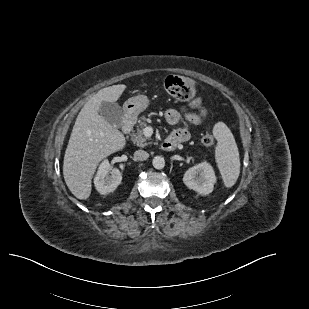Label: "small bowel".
I'll use <instances>...</instances> for the list:
<instances>
[{
    "instance_id": "1",
    "label": "small bowel",
    "mask_w": 309,
    "mask_h": 309,
    "mask_svg": "<svg viewBox=\"0 0 309 309\" xmlns=\"http://www.w3.org/2000/svg\"><path fill=\"white\" fill-rule=\"evenodd\" d=\"M185 116L188 119V121L191 122L192 124L197 125L200 123V118L195 113L185 112ZM180 118L181 113L177 109H168L165 113V119L171 125L177 124L180 121ZM170 137L177 139L179 143H182L189 139L190 134L187 129L179 128L175 130Z\"/></svg>"
}]
</instances>
